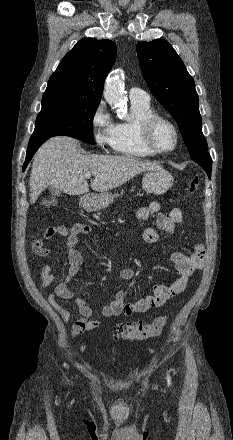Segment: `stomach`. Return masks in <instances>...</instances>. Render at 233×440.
<instances>
[{"instance_id":"stomach-1","label":"stomach","mask_w":233,"mask_h":440,"mask_svg":"<svg viewBox=\"0 0 233 440\" xmlns=\"http://www.w3.org/2000/svg\"><path fill=\"white\" fill-rule=\"evenodd\" d=\"M172 175L162 167L147 171L142 180V187L148 193L161 195L173 185ZM116 195L108 192L88 194L81 198V205L88 211L103 209L113 203Z\"/></svg>"}]
</instances>
